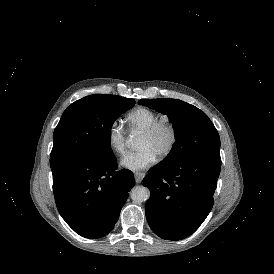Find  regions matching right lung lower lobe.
<instances>
[{
	"label": "right lung lower lobe",
	"instance_id": "98d812e1",
	"mask_svg": "<svg viewBox=\"0 0 274 274\" xmlns=\"http://www.w3.org/2000/svg\"><path fill=\"white\" fill-rule=\"evenodd\" d=\"M117 167L113 155L75 158L51 166L58 211L79 235L96 239L114 228L135 183L131 171H116Z\"/></svg>",
	"mask_w": 274,
	"mask_h": 274
}]
</instances>
